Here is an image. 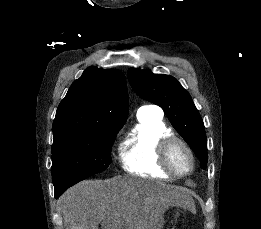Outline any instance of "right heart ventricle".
Returning a JSON list of instances; mask_svg holds the SVG:
<instances>
[{"instance_id":"1","label":"right heart ventricle","mask_w":261,"mask_h":229,"mask_svg":"<svg viewBox=\"0 0 261 229\" xmlns=\"http://www.w3.org/2000/svg\"><path fill=\"white\" fill-rule=\"evenodd\" d=\"M138 126L120 147L122 167L130 174L171 176L161 164L160 145L173 136L163 119L162 110L155 105H143L137 111Z\"/></svg>"}]
</instances>
